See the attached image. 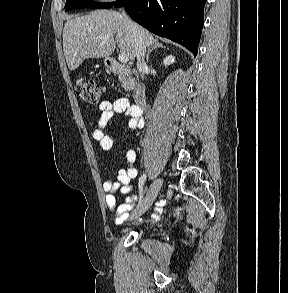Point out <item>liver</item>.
I'll list each match as a JSON object with an SVG mask.
<instances>
[{
  "instance_id": "obj_1",
  "label": "liver",
  "mask_w": 288,
  "mask_h": 293,
  "mask_svg": "<svg viewBox=\"0 0 288 293\" xmlns=\"http://www.w3.org/2000/svg\"><path fill=\"white\" fill-rule=\"evenodd\" d=\"M134 23V22H133ZM145 49L157 42L153 35L134 23ZM136 57L134 34L128 20L117 11L98 10L88 15L69 19L63 29V50L68 68H78L88 58H107L115 50Z\"/></svg>"
}]
</instances>
